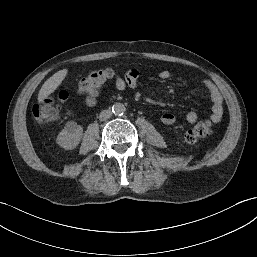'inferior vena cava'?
Wrapping results in <instances>:
<instances>
[{
  "label": "inferior vena cava",
  "mask_w": 257,
  "mask_h": 257,
  "mask_svg": "<svg viewBox=\"0 0 257 257\" xmlns=\"http://www.w3.org/2000/svg\"><path fill=\"white\" fill-rule=\"evenodd\" d=\"M111 116H112L111 110H103L100 112L99 119L100 121H106L109 118H111Z\"/></svg>",
  "instance_id": "1"
}]
</instances>
